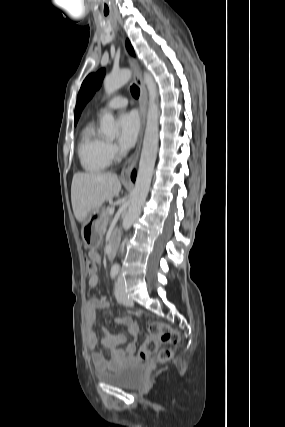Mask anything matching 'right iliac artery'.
I'll use <instances>...</instances> for the list:
<instances>
[{
    "label": "right iliac artery",
    "mask_w": 285,
    "mask_h": 427,
    "mask_svg": "<svg viewBox=\"0 0 285 427\" xmlns=\"http://www.w3.org/2000/svg\"><path fill=\"white\" fill-rule=\"evenodd\" d=\"M118 270H119V269H118L117 267H112V268H111L110 275H111V278H112V279L116 277V275L118 274Z\"/></svg>",
    "instance_id": "1"
}]
</instances>
